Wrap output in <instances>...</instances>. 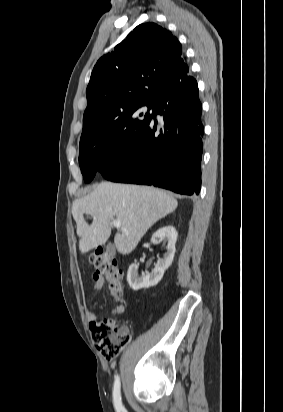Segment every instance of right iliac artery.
<instances>
[{
	"mask_svg": "<svg viewBox=\"0 0 283 412\" xmlns=\"http://www.w3.org/2000/svg\"><path fill=\"white\" fill-rule=\"evenodd\" d=\"M113 401L114 406L118 412L123 410L122 402H121V393H120V378L117 375L115 378L114 389H113Z\"/></svg>",
	"mask_w": 283,
	"mask_h": 412,
	"instance_id": "obj_1",
	"label": "right iliac artery"
}]
</instances>
